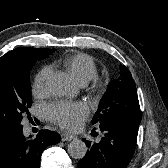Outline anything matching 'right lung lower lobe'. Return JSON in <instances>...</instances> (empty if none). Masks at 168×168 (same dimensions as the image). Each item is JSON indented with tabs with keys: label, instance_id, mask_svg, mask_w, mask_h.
I'll return each instance as SVG.
<instances>
[{
	"label": "right lung lower lobe",
	"instance_id": "98d812e1",
	"mask_svg": "<svg viewBox=\"0 0 168 168\" xmlns=\"http://www.w3.org/2000/svg\"><path fill=\"white\" fill-rule=\"evenodd\" d=\"M22 128L17 125L0 130V168H39L43 150L60 141L59 134L49 130H41L30 140Z\"/></svg>",
	"mask_w": 168,
	"mask_h": 168
}]
</instances>
